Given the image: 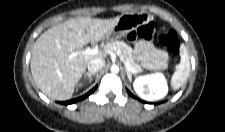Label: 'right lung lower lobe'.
I'll return each mask as SVG.
<instances>
[{"label": "right lung lower lobe", "mask_w": 225, "mask_h": 132, "mask_svg": "<svg viewBox=\"0 0 225 132\" xmlns=\"http://www.w3.org/2000/svg\"><path fill=\"white\" fill-rule=\"evenodd\" d=\"M95 89H96V87H94L92 90H90V91H89L88 93H86L85 95L79 97L78 99H72V100H69V101H65V102H62V104L68 105V104L75 103L76 101L83 100V99H85L87 96H89Z\"/></svg>", "instance_id": "obj_1"}]
</instances>
